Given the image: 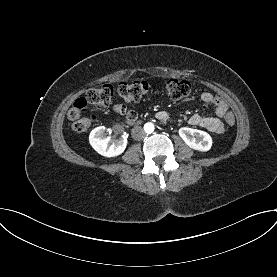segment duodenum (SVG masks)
Wrapping results in <instances>:
<instances>
[{
  "label": "duodenum",
  "mask_w": 277,
  "mask_h": 277,
  "mask_svg": "<svg viewBox=\"0 0 277 277\" xmlns=\"http://www.w3.org/2000/svg\"><path fill=\"white\" fill-rule=\"evenodd\" d=\"M126 123H128V124H137L138 121L135 120V119H127V120H126Z\"/></svg>",
  "instance_id": "1"
}]
</instances>
